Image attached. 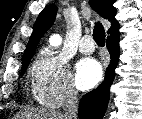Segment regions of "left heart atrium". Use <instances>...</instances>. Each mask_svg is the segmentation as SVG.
I'll return each instance as SVG.
<instances>
[{"instance_id":"obj_1","label":"left heart atrium","mask_w":142,"mask_h":119,"mask_svg":"<svg viewBox=\"0 0 142 119\" xmlns=\"http://www.w3.org/2000/svg\"><path fill=\"white\" fill-rule=\"evenodd\" d=\"M101 78L102 67L95 59H82L76 65V84L81 90L94 87Z\"/></svg>"}]
</instances>
